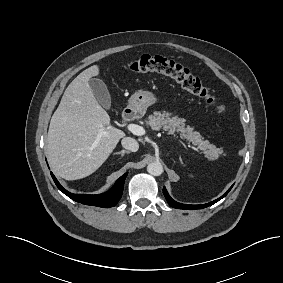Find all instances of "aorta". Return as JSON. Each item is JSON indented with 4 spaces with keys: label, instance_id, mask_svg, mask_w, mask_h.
<instances>
[{
    "label": "aorta",
    "instance_id": "1",
    "mask_svg": "<svg viewBox=\"0 0 283 283\" xmlns=\"http://www.w3.org/2000/svg\"><path fill=\"white\" fill-rule=\"evenodd\" d=\"M147 171L153 176H160L163 173V166L159 162H152L147 166Z\"/></svg>",
    "mask_w": 283,
    "mask_h": 283
}]
</instances>
